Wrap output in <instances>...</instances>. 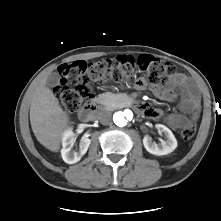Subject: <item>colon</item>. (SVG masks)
Returning a JSON list of instances; mask_svg holds the SVG:
<instances>
[{
  "instance_id": "1",
  "label": "colon",
  "mask_w": 221,
  "mask_h": 221,
  "mask_svg": "<svg viewBox=\"0 0 221 221\" xmlns=\"http://www.w3.org/2000/svg\"><path fill=\"white\" fill-rule=\"evenodd\" d=\"M136 69L145 72L148 83L155 87L167 83L178 74L173 64L150 55H142L138 59L121 56L91 63L79 60L60 67V80L54 93L65 110L76 112L85 108L93 96V83L110 78L119 80L132 74ZM196 122L197 119L192 116L182 129L181 136L184 140L193 138Z\"/></svg>"
}]
</instances>
